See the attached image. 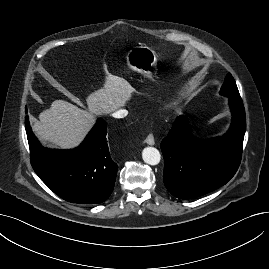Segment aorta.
Masks as SVG:
<instances>
[{"label":"aorta","instance_id":"aorta-1","mask_svg":"<svg viewBox=\"0 0 269 269\" xmlns=\"http://www.w3.org/2000/svg\"><path fill=\"white\" fill-rule=\"evenodd\" d=\"M142 158L149 165H157L161 160V155L156 148L146 147L142 151Z\"/></svg>","mask_w":269,"mask_h":269}]
</instances>
